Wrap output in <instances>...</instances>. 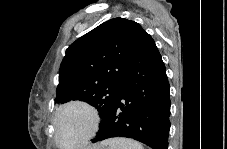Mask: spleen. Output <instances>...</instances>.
Masks as SVG:
<instances>
[{"mask_svg": "<svg viewBox=\"0 0 227 149\" xmlns=\"http://www.w3.org/2000/svg\"><path fill=\"white\" fill-rule=\"evenodd\" d=\"M103 145H109V149H143L139 142L121 137L106 140Z\"/></svg>", "mask_w": 227, "mask_h": 149, "instance_id": "spleen-1", "label": "spleen"}]
</instances>
